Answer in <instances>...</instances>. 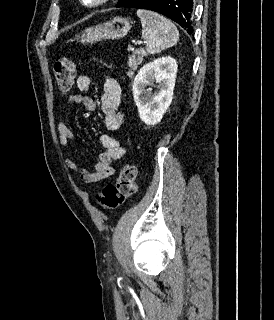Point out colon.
Returning <instances> with one entry per match:
<instances>
[{
	"instance_id": "5ec220e1",
	"label": "colon",
	"mask_w": 274,
	"mask_h": 320,
	"mask_svg": "<svg viewBox=\"0 0 274 320\" xmlns=\"http://www.w3.org/2000/svg\"><path fill=\"white\" fill-rule=\"evenodd\" d=\"M53 75L56 88L63 95H67L74 84L75 67L73 61L60 57L53 65ZM135 169L130 164L121 167L115 184L106 185L96 194V201L105 209H115L123 205L134 195Z\"/></svg>"
}]
</instances>
